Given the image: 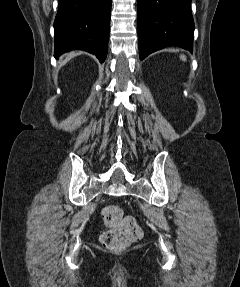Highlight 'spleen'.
Segmentation results:
<instances>
[{
    "instance_id": "1",
    "label": "spleen",
    "mask_w": 240,
    "mask_h": 287,
    "mask_svg": "<svg viewBox=\"0 0 240 287\" xmlns=\"http://www.w3.org/2000/svg\"><path fill=\"white\" fill-rule=\"evenodd\" d=\"M181 59H182L183 61H185V60H186V57H185L184 55H182V56H181Z\"/></svg>"
}]
</instances>
